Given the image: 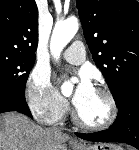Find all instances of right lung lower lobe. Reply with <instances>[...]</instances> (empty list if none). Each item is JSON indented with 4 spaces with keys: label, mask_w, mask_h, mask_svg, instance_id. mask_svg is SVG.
<instances>
[{
    "label": "right lung lower lobe",
    "mask_w": 139,
    "mask_h": 150,
    "mask_svg": "<svg viewBox=\"0 0 139 150\" xmlns=\"http://www.w3.org/2000/svg\"><path fill=\"white\" fill-rule=\"evenodd\" d=\"M10 111H17L33 118L25 101V96L0 89V113Z\"/></svg>",
    "instance_id": "1"
}]
</instances>
